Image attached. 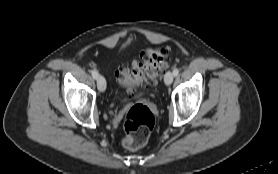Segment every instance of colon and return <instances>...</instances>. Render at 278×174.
<instances>
[{
	"label": "colon",
	"instance_id": "obj_1",
	"mask_svg": "<svg viewBox=\"0 0 278 174\" xmlns=\"http://www.w3.org/2000/svg\"><path fill=\"white\" fill-rule=\"evenodd\" d=\"M167 63V54L162 49L148 48L142 52L141 59L134 61L131 67H121L116 76L118 80L132 90L139 86L153 84ZM155 119L151 110L142 104L133 106L125 116V136L123 145L136 150L144 146L154 128Z\"/></svg>",
	"mask_w": 278,
	"mask_h": 174
}]
</instances>
